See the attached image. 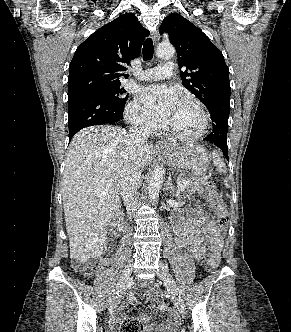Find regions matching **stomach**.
<instances>
[{
	"label": "stomach",
	"mask_w": 291,
	"mask_h": 332,
	"mask_svg": "<svg viewBox=\"0 0 291 332\" xmlns=\"http://www.w3.org/2000/svg\"><path fill=\"white\" fill-rule=\"evenodd\" d=\"M164 153L171 166L190 172L194 176L204 175L211 159L209 153L203 147L192 143L171 144L164 150Z\"/></svg>",
	"instance_id": "obj_1"
}]
</instances>
